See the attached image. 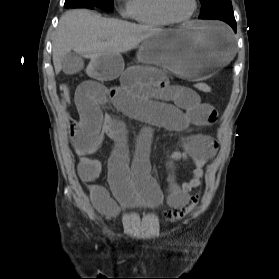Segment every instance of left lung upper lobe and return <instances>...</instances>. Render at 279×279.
Masks as SVG:
<instances>
[{
	"label": "left lung upper lobe",
	"mask_w": 279,
	"mask_h": 279,
	"mask_svg": "<svg viewBox=\"0 0 279 279\" xmlns=\"http://www.w3.org/2000/svg\"><path fill=\"white\" fill-rule=\"evenodd\" d=\"M202 10L199 19H219L233 16L231 0H200Z\"/></svg>",
	"instance_id": "left-lung-upper-lobe-1"
}]
</instances>
